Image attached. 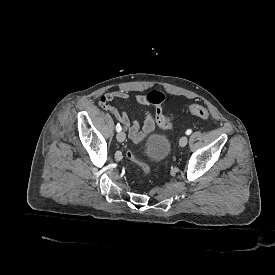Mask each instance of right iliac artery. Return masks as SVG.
Here are the masks:
<instances>
[{"mask_svg":"<svg viewBox=\"0 0 275 275\" xmlns=\"http://www.w3.org/2000/svg\"><path fill=\"white\" fill-rule=\"evenodd\" d=\"M121 129H122V128H121V125L118 123V124H117V126H116V130H117V132H120V131H121Z\"/></svg>","mask_w":275,"mask_h":275,"instance_id":"1","label":"right iliac artery"}]
</instances>
